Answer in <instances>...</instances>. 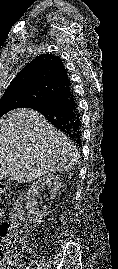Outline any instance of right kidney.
I'll return each mask as SVG.
<instances>
[{
  "label": "right kidney",
  "mask_w": 118,
  "mask_h": 269,
  "mask_svg": "<svg viewBox=\"0 0 118 269\" xmlns=\"http://www.w3.org/2000/svg\"><path fill=\"white\" fill-rule=\"evenodd\" d=\"M62 184V180L59 175L48 174L43 178L32 183L26 193L25 205L28 210V216L30 221L33 223H41L43 216L47 212V207L44 206L42 209L37 207L36 197L41 189H44L45 186L49 188L50 198L54 199L59 192V188Z\"/></svg>",
  "instance_id": "right-kidney-1"
}]
</instances>
